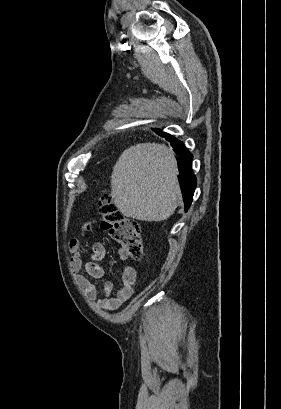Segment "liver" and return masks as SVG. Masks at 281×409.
Wrapping results in <instances>:
<instances>
[{
  "label": "liver",
  "mask_w": 281,
  "mask_h": 409,
  "mask_svg": "<svg viewBox=\"0 0 281 409\" xmlns=\"http://www.w3.org/2000/svg\"><path fill=\"white\" fill-rule=\"evenodd\" d=\"M177 174L174 152L164 144L140 142L126 148L111 176L118 211L138 221H165L181 196Z\"/></svg>",
  "instance_id": "1"
}]
</instances>
